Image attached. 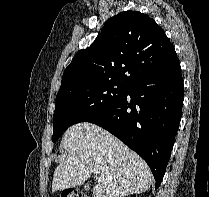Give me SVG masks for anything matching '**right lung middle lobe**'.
<instances>
[{"instance_id": "right-lung-middle-lobe-1", "label": "right lung middle lobe", "mask_w": 209, "mask_h": 197, "mask_svg": "<svg viewBox=\"0 0 209 197\" xmlns=\"http://www.w3.org/2000/svg\"><path fill=\"white\" fill-rule=\"evenodd\" d=\"M130 85L106 80L67 85L59 89L53 115L55 142L71 125L84 122L124 98Z\"/></svg>"}]
</instances>
